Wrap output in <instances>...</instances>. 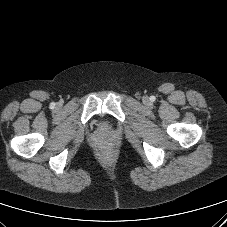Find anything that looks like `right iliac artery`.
Listing matches in <instances>:
<instances>
[{
	"label": "right iliac artery",
	"instance_id": "right-iliac-artery-1",
	"mask_svg": "<svg viewBox=\"0 0 227 227\" xmlns=\"http://www.w3.org/2000/svg\"><path fill=\"white\" fill-rule=\"evenodd\" d=\"M53 106H54V104L52 103V104H51V107H53Z\"/></svg>",
	"mask_w": 227,
	"mask_h": 227
}]
</instances>
